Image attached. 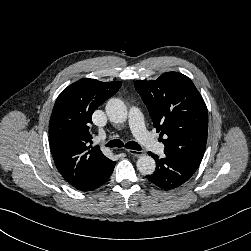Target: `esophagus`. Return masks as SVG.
Masks as SVG:
<instances>
[{"label": "esophagus", "instance_id": "34e87169", "mask_svg": "<svg viewBox=\"0 0 251 251\" xmlns=\"http://www.w3.org/2000/svg\"><path fill=\"white\" fill-rule=\"evenodd\" d=\"M127 153H129L130 155L136 156V157H140L142 155H144L143 151H138V150H132V149H127L126 150Z\"/></svg>", "mask_w": 251, "mask_h": 251}]
</instances>
